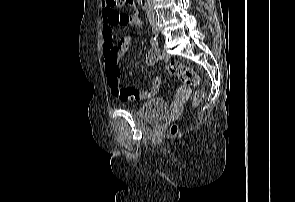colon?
<instances>
[{
    "label": "colon",
    "instance_id": "5ec220e1",
    "mask_svg": "<svg viewBox=\"0 0 295 202\" xmlns=\"http://www.w3.org/2000/svg\"><path fill=\"white\" fill-rule=\"evenodd\" d=\"M110 11L117 12L116 7L118 5H131L133 3V0H105ZM120 25H127L130 21V18L128 15L122 14L120 17ZM165 69L168 73L172 75H176L182 83L188 86L197 87L200 84V77L199 75L190 67L182 65L178 62L171 61L168 62L165 65ZM204 96L203 91L197 90L194 94V102L198 103L202 100ZM172 134L178 133V128L176 126H173L171 128Z\"/></svg>",
    "mask_w": 295,
    "mask_h": 202
}]
</instances>
